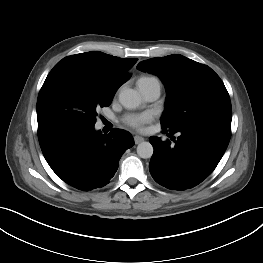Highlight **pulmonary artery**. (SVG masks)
<instances>
[{
    "label": "pulmonary artery",
    "instance_id": "pulmonary-artery-1",
    "mask_svg": "<svg viewBox=\"0 0 263 263\" xmlns=\"http://www.w3.org/2000/svg\"><path fill=\"white\" fill-rule=\"evenodd\" d=\"M137 88L142 97L148 102L157 100L161 94V84L158 79L153 77L139 79Z\"/></svg>",
    "mask_w": 263,
    "mask_h": 263
}]
</instances>
